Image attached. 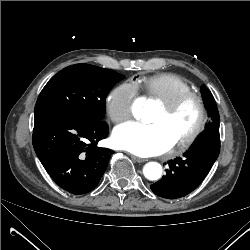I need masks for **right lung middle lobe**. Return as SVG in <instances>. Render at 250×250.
Returning a JSON list of instances; mask_svg holds the SVG:
<instances>
[{
    "label": "right lung middle lobe",
    "instance_id": "right-lung-middle-lobe-1",
    "mask_svg": "<svg viewBox=\"0 0 250 250\" xmlns=\"http://www.w3.org/2000/svg\"><path fill=\"white\" fill-rule=\"evenodd\" d=\"M123 75L89 64L62 69L41 91L34 113L61 112L103 121L106 97Z\"/></svg>",
    "mask_w": 250,
    "mask_h": 250
}]
</instances>
